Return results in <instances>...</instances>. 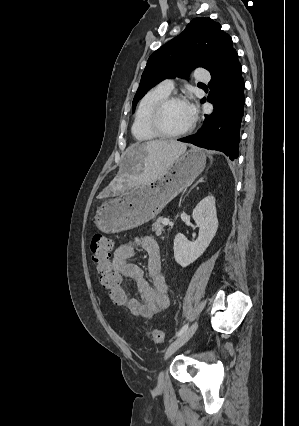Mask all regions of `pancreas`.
Wrapping results in <instances>:
<instances>
[{
    "mask_svg": "<svg viewBox=\"0 0 299 426\" xmlns=\"http://www.w3.org/2000/svg\"><path fill=\"white\" fill-rule=\"evenodd\" d=\"M162 217H159L156 222L152 225V231L156 233L157 236H161L162 232L165 231L164 225L162 224Z\"/></svg>",
    "mask_w": 299,
    "mask_h": 426,
    "instance_id": "obj_1",
    "label": "pancreas"
}]
</instances>
